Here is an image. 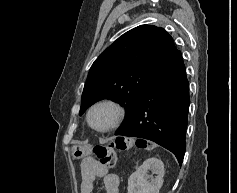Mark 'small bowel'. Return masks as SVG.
<instances>
[{
    "instance_id": "obj_1",
    "label": "small bowel",
    "mask_w": 237,
    "mask_h": 193,
    "mask_svg": "<svg viewBox=\"0 0 237 193\" xmlns=\"http://www.w3.org/2000/svg\"><path fill=\"white\" fill-rule=\"evenodd\" d=\"M97 178L103 179L105 193H119L118 175L110 173L94 160H87L82 168L80 193H94Z\"/></svg>"
}]
</instances>
